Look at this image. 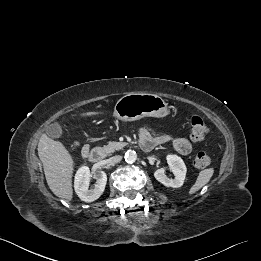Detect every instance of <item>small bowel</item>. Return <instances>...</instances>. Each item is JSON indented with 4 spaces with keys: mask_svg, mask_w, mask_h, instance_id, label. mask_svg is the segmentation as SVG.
<instances>
[{
    "mask_svg": "<svg viewBox=\"0 0 261 261\" xmlns=\"http://www.w3.org/2000/svg\"><path fill=\"white\" fill-rule=\"evenodd\" d=\"M140 140L151 144L152 147L172 140V145L175 151L183 156L189 155L193 150L192 142L186 137H177L172 139L169 135L153 136L146 128L141 129ZM82 149L88 150L89 145H83Z\"/></svg>",
    "mask_w": 261,
    "mask_h": 261,
    "instance_id": "c3829d8e",
    "label": "small bowel"
}]
</instances>
